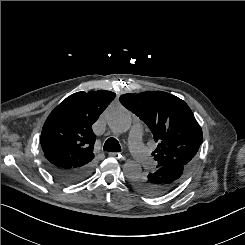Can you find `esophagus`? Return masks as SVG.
Wrapping results in <instances>:
<instances>
[{
	"label": "esophagus",
	"mask_w": 245,
	"mask_h": 245,
	"mask_svg": "<svg viewBox=\"0 0 245 245\" xmlns=\"http://www.w3.org/2000/svg\"><path fill=\"white\" fill-rule=\"evenodd\" d=\"M109 156L118 157L121 160H125L126 159L124 155H121L120 153H117V152H109Z\"/></svg>",
	"instance_id": "1"
}]
</instances>
